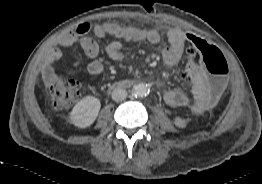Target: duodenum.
Returning a JSON list of instances; mask_svg holds the SVG:
<instances>
[{
	"label": "duodenum",
	"mask_w": 262,
	"mask_h": 184,
	"mask_svg": "<svg viewBox=\"0 0 262 184\" xmlns=\"http://www.w3.org/2000/svg\"><path fill=\"white\" fill-rule=\"evenodd\" d=\"M133 82H127V83H124V85H132Z\"/></svg>",
	"instance_id": "410a0bca"
}]
</instances>
